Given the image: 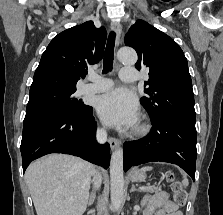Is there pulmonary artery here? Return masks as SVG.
<instances>
[{"label": "pulmonary artery", "mask_w": 223, "mask_h": 215, "mask_svg": "<svg viewBox=\"0 0 223 215\" xmlns=\"http://www.w3.org/2000/svg\"><path fill=\"white\" fill-rule=\"evenodd\" d=\"M140 69H134L133 65H124L123 69H121V73H119V77L121 80L129 83H134L136 78V74H140ZM90 83L86 84L83 88V92L85 94H94L103 92L111 89L114 86V81L112 79L98 77L95 75H90L88 77Z\"/></svg>", "instance_id": "pulmonary-artery-1"}]
</instances>
